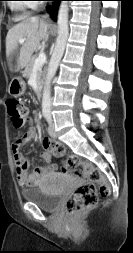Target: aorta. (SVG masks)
Returning a JSON list of instances; mask_svg holds the SVG:
<instances>
[{"mask_svg":"<svg viewBox=\"0 0 133 253\" xmlns=\"http://www.w3.org/2000/svg\"><path fill=\"white\" fill-rule=\"evenodd\" d=\"M57 24H58V37L56 40V46L51 56L47 75L46 82L43 91L42 97V111L43 113H50L51 107V95H50V87L51 81L55 76L57 71L59 62L63 56L66 42L68 39L69 28H68V1H62L59 6L58 16H57Z\"/></svg>","mask_w":133,"mask_h":253,"instance_id":"aorta-1","label":"aorta"}]
</instances>
